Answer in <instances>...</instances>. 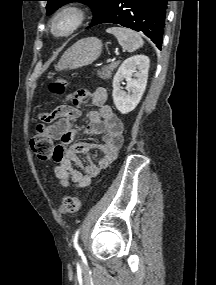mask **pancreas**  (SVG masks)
<instances>
[{"mask_svg":"<svg viewBox=\"0 0 216 285\" xmlns=\"http://www.w3.org/2000/svg\"><path fill=\"white\" fill-rule=\"evenodd\" d=\"M119 61L113 62L97 71L98 76L103 80L111 78L113 71L118 67Z\"/></svg>","mask_w":216,"mask_h":285,"instance_id":"obj_1","label":"pancreas"}]
</instances>
